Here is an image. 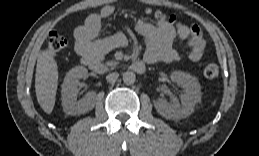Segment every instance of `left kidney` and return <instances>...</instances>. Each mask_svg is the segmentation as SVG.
Segmentation results:
<instances>
[{
    "instance_id": "obj_1",
    "label": "left kidney",
    "mask_w": 259,
    "mask_h": 156,
    "mask_svg": "<svg viewBox=\"0 0 259 156\" xmlns=\"http://www.w3.org/2000/svg\"><path fill=\"white\" fill-rule=\"evenodd\" d=\"M170 79L184 88L181 104H170L165 99L160 98L155 101L154 106L161 116L179 120L189 116L194 111L195 105L201 100V87L195 77L184 72L174 71L171 73Z\"/></svg>"
}]
</instances>
